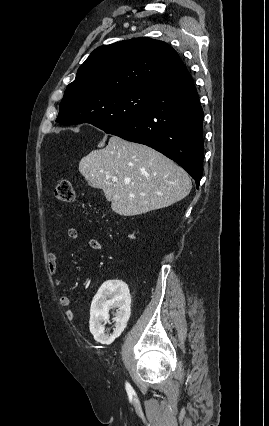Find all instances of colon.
Here are the masks:
<instances>
[{
    "mask_svg": "<svg viewBox=\"0 0 269 426\" xmlns=\"http://www.w3.org/2000/svg\"><path fill=\"white\" fill-rule=\"evenodd\" d=\"M54 197L60 202H71L74 198L71 182L68 180H60L54 188Z\"/></svg>",
    "mask_w": 269,
    "mask_h": 426,
    "instance_id": "1",
    "label": "colon"
}]
</instances>
